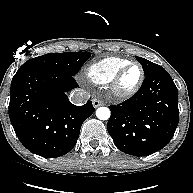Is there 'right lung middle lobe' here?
Returning a JSON list of instances; mask_svg holds the SVG:
<instances>
[{"instance_id":"obj_1","label":"right lung middle lobe","mask_w":193,"mask_h":193,"mask_svg":"<svg viewBox=\"0 0 193 193\" xmlns=\"http://www.w3.org/2000/svg\"><path fill=\"white\" fill-rule=\"evenodd\" d=\"M91 57L90 52H64L45 54L25 62L17 71L22 73L33 70L52 71L74 76L81 66Z\"/></svg>"}]
</instances>
